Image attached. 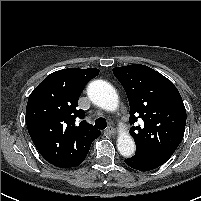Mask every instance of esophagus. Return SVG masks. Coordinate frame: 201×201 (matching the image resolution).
<instances>
[{
  "label": "esophagus",
  "instance_id": "34e87169",
  "mask_svg": "<svg viewBox=\"0 0 201 201\" xmlns=\"http://www.w3.org/2000/svg\"><path fill=\"white\" fill-rule=\"evenodd\" d=\"M106 133L109 134V135H115L116 131L113 127L109 126L107 129H106Z\"/></svg>",
  "mask_w": 201,
  "mask_h": 201
}]
</instances>
